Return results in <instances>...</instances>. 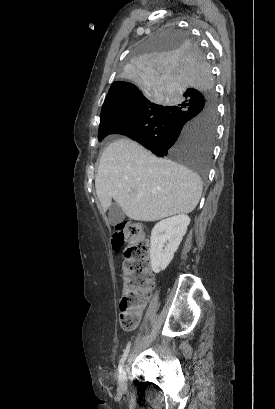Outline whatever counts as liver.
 Returning <instances> with one entry per match:
<instances>
[{"label":"liver","instance_id":"obj_1","mask_svg":"<svg viewBox=\"0 0 275 409\" xmlns=\"http://www.w3.org/2000/svg\"><path fill=\"white\" fill-rule=\"evenodd\" d=\"M95 188L104 213L114 198L129 219L160 221L192 213L202 182L184 164L158 158L130 138H117L102 152Z\"/></svg>","mask_w":275,"mask_h":409}]
</instances>
